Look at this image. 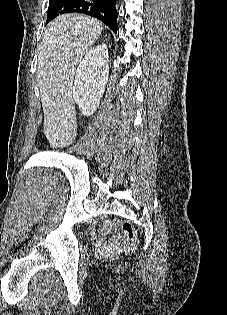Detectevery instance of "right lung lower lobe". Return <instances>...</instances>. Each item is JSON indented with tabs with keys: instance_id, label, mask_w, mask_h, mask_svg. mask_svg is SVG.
I'll list each match as a JSON object with an SVG mask.
<instances>
[{
	"instance_id": "98d812e1",
	"label": "right lung lower lobe",
	"mask_w": 227,
	"mask_h": 315,
	"mask_svg": "<svg viewBox=\"0 0 227 315\" xmlns=\"http://www.w3.org/2000/svg\"><path fill=\"white\" fill-rule=\"evenodd\" d=\"M73 12L95 17L117 33L115 0H50L46 23L61 14Z\"/></svg>"
}]
</instances>
